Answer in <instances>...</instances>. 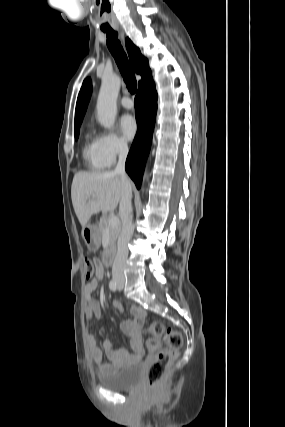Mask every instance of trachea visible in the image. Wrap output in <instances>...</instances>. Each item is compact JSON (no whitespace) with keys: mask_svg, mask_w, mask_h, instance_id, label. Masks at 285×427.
Listing matches in <instances>:
<instances>
[{"mask_svg":"<svg viewBox=\"0 0 285 427\" xmlns=\"http://www.w3.org/2000/svg\"><path fill=\"white\" fill-rule=\"evenodd\" d=\"M107 47L113 55L117 66L122 74L127 89L134 94L137 90V81L135 72L131 67L127 55L118 40V33L115 31H106Z\"/></svg>","mask_w":285,"mask_h":427,"instance_id":"3493384b","label":"trachea"}]
</instances>
